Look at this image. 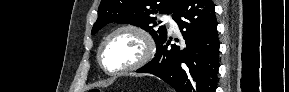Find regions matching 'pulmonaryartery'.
Masks as SVG:
<instances>
[{
  "label": "pulmonary artery",
  "mask_w": 289,
  "mask_h": 92,
  "mask_svg": "<svg viewBox=\"0 0 289 92\" xmlns=\"http://www.w3.org/2000/svg\"><path fill=\"white\" fill-rule=\"evenodd\" d=\"M163 19H164L165 22H167L170 25V28L172 30H177L178 29L176 22L173 20V18L170 15H165L163 17Z\"/></svg>",
  "instance_id": "pulmonary-artery-1"
}]
</instances>
